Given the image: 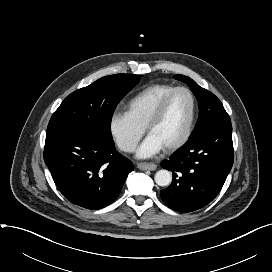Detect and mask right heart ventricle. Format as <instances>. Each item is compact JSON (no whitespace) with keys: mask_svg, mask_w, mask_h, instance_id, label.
Here are the masks:
<instances>
[{"mask_svg":"<svg viewBox=\"0 0 272 272\" xmlns=\"http://www.w3.org/2000/svg\"><path fill=\"white\" fill-rule=\"evenodd\" d=\"M174 88L176 86L170 84H153L145 87L127 102V113L138 125L145 128L156 106Z\"/></svg>","mask_w":272,"mask_h":272,"instance_id":"obj_1","label":"right heart ventricle"}]
</instances>
